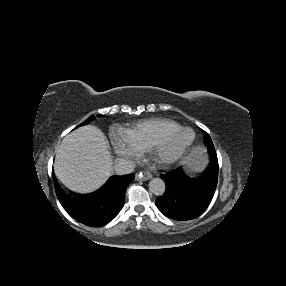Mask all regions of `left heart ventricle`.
Wrapping results in <instances>:
<instances>
[{
    "instance_id": "b2bd125f",
    "label": "left heart ventricle",
    "mask_w": 286,
    "mask_h": 286,
    "mask_svg": "<svg viewBox=\"0 0 286 286\" xmlns=\"http://www.w3.org/2000/svg\"><path fill=\"white\" fill-rule=\"evenodd\" d=\"M190 140H191V134L185 133L179 138L178 144H185V143L189 142Z\"/></svg>"
}]
</instances>
